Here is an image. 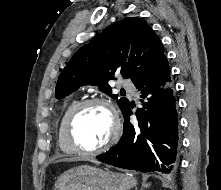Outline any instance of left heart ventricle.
<instances>
[{
  "mask_svg": "<svg viewBox=\"0 0 221 190\" xmlns=\"http://www.w3.org/2000/svg\"><path fill=\"white\" fill-rule=\"evenodd\" d=\"M113 119L107 107L94 104L85 108L75 123L74 135L88 149L104 144L111 136Z\"/></svg>",
  "mask_w": 221,
  "mask_h": 190,
  "instance_id": "left-heart-ventricle-1",
  "label": "left heart ventricle"
}]
</instances>
